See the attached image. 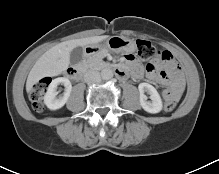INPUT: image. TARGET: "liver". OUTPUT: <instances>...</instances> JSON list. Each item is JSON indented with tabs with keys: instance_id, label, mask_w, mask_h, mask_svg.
Segmentation results:
<instances>
[{
	"instance_id": "liver-1",
	"label": "liver",
	"mask_w": 219,
	"mask_h": 174,
	"mask_svg": "<svg viewBox=\"0 0 219 174\" xmlns=\"http://www.w3.org/2000/svg\"><path fill=\"white\" fill-rule=\"evenodd\" d=\"M108 38L109 36L103 35L73 39L50 48L36 61L30 70L26 81V91L30 93L33 85L44 77L63 73L70 64V52L74 48L96 44Z\"/></svg>"
}]
</instances>
